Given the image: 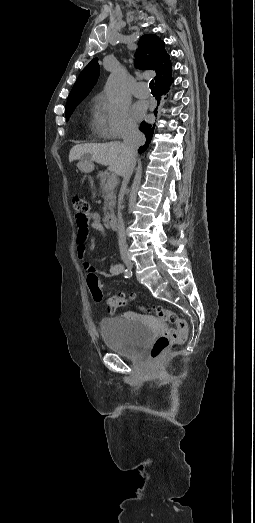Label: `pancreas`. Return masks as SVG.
<instances>
[{"label": "pancreas", "instance_id": "obj_1", "mask_svg": "<svg viewBox=\"0 0 255 523\" xmlns=\"http://www.w3.org/2000/svg\"><path fill=\"white\" fill-rule=\"evenodd\" d=\"M97 180H100V188L104 194V196H102V198L105 200L103 212L105 216H110L116 204V194L114 192V188L117 186V178L114 176V174H110L108 170H105V172H98ZM105 182H113L114 186H112L110 190H106Z\"/></svg>", "mask_w": 255, "mask_h": 523}]
</instances>
